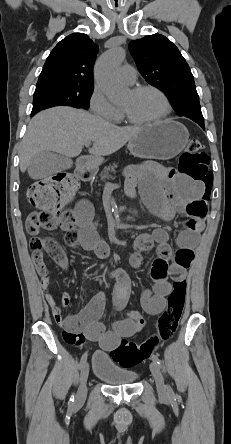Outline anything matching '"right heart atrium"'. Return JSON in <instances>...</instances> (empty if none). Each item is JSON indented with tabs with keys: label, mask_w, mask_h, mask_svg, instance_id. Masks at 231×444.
Segmentation results:
<instances>
[{
	"label": "right heart atrium",
	"mask_w": 231,
	"mask_h": 444,
	"mask_svg": "<svg viewBox=\"0 0 231 444\" xmlns=\"http://www.w3.org/2000/svg\"><path fill=\"white\" fill-rule=\"evenodd\" d=\"M91 111L106 120L118 121L121 117L120 110L114 106L99 88H94L89 99Z\"/></svg>",
	"instance_id": "d8ad5b80"
}]
</instances>
